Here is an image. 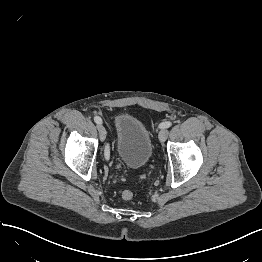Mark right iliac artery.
Returning a JSON list of instances; mask_svg holds the SVG:
<instances>
[{"mask_svg":"<svg viewBox=\"0 0 262 262\" xmlns=\"http://www.w3.org/2000/svg\"><path fill=\"white\" fill-rule=\"evenodd\" d=\"M94 121H95L97 124H102V119H101L99 116H95V117H94ZM105 156H106L107 158H109V149H108V147H107L106 150H105Z\"/></svg>","mask_w":262,"mask_h":262,"instance_id":"obj_1","label":"right iliac artery"}]
</instances>
